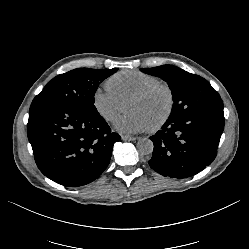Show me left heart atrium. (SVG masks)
<instances>
[{
    "label": "left heart atrium",
    "mask_w": 249,
    "mask_h": 249,
    "mask_svg": "<svg viewBox=\"0 0 249 249\" xmlns=\"http://www.w3.org/2000/svg\"><path fill=\"white\" fill-rule=\"evenodd\" d=\"M113 128L121 133L135 134L147 131L149 126L140 114L131 112L117 116Z\"/></svg>",
    "instance_id": "left-heart-atrium-1"
}]
</instances>
